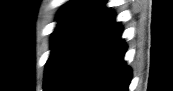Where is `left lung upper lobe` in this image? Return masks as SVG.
Masks as SVG:
<instances>
[{
  "instance_id": "1",
  "label": "left lung upper lobe",
  "mask_w": 173,
  "mask_h": 91,
  "mask_svg": "<svg viewBox=\"0 0 173 91\" xmlns=\"http://www.w3.org/2000/svg\"><path fill=\"white\" fill-rule=\"evenodd\" d=\"M106 0H71L60 10L51 38L52 53L46 63L44 90L51 91L74 50L110 11Z\"/></svg>"
}]
</instances>
